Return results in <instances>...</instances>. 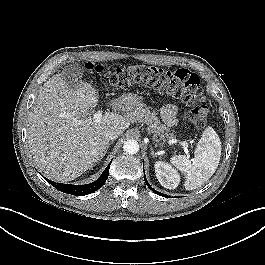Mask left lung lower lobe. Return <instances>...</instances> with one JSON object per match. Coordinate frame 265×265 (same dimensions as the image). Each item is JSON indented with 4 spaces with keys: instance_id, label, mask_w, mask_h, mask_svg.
I'll use <instances>...</instances> for the list:
<instances>
[{
    "instance_id": "0a47b994",
    "label": "left lung lower lobe",
    "mask_w": 265,
    "mask_h": 265,
    "mask_svg": "<svg viewBox=\"0 0 265 265\" xmlns=\"http://www.w3.org/2000/svg\"><path fill=\"white\" fill-rule=\"evenodd\" d=\"M144 180H145L147 186H148L152 191H154L155 193L159 194L160 196H164V197L166 196V197H168L167 195H165V194H163V193H159L158 191L154 190V189L149 185V183H148L147 180H146L145 173H144Z\"/></svg>"
}]
</instances>
